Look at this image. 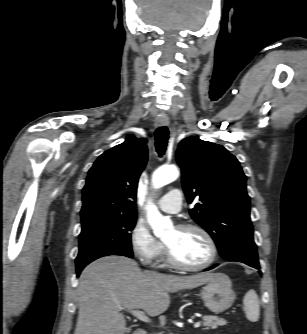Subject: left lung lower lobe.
Returning <instances> with one entry per match:
<instances>
[{
  "instance_id": "obj_1",
  "label": "left lung lower lobe",
  "mask_w": 307,
  "mask_h": 334,
  "mask_svg": "<svg viewBox=\"0 0 307 334\" xmlns=\"http://www.w3.org/2000/svg\"><path fill=\"white\" fill-rule=\"evenodd\" d=\"M223 258L227 261L242 262L253 268L260 269L257 248L254 240H239L235 242L231 246L229 254ZM216 266L217 265H214L206 270L212 269ZM259 273H261V271H259Z\"/></svg>"
}]
</instances>
